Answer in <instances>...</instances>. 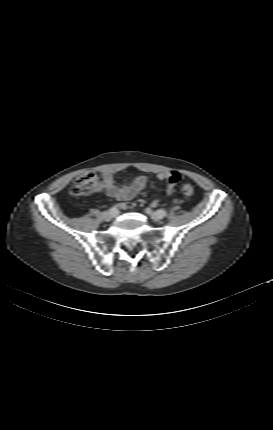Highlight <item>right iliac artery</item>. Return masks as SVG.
<instances>
[{
  "instance_id": "82829eb1",
  "label": "right iliac artery",
  "mask_w": 273,
  "mask_h": 430,
  "mask_svg": "<svg viewBox=\"0 0 273 430\" xmlns=\"http://www.w3.org/2000/svg\"><path fill=\"white\" fill-rule=\"evenodd\" d=\"M110 210H112V211H114L115 213H118V209H117V207H112Z\"/></svg>"
}]
</instances>
